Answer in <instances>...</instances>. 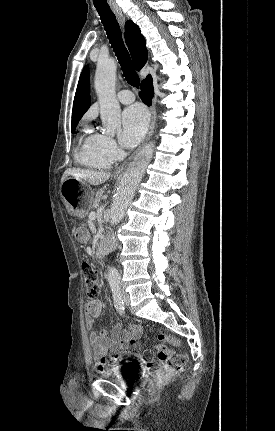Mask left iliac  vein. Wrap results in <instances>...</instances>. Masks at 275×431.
I'll list each match as a JSON object with an SVG mask.
<instances>
[{"instance_id": "1", "label": "left iliac vein", "mask_w": 275, "mask_h": 431, "mask_svg": "<svg viewBox=\"0 0 275 431\" xmlns=\"http://www.w3.org/2000/svg\"><path fill=\"white\" fill-rule=\"evenodd\" d=\"M122 298H123V301H124L125 305L129 306L130 305L129 294L127 292L123 291L122 292Z\"/></svg>"}]
</instances>
